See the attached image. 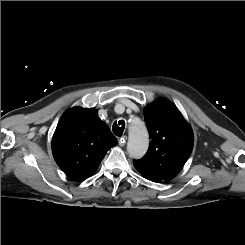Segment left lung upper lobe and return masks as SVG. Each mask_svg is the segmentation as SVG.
Segmentation results:
<instances>
[{"mask_svg":"<svg viewBox=\"0 0 245 245\" xmlns=\"http://www.w3.org/2000/svg\"><path fill=\"white\" fill-rule=\"evenodd\" d=\"M151 142L146 155L133 160L146 179L167 182L178 175L191 155L194 145L192 128L177 107L159 99L144 109Z\"/></svg>","mask_w":245,"mask_h":245,"instance_id":"5c2ea615","label":"left lung upper lobe"}]
</instances>
